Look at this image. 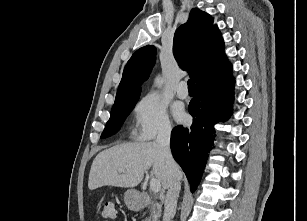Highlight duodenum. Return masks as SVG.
I'll return each mask as SVG.
<instances>
[{"instance_id": "obj_1", "label": "duodenum", "mask_w": 307, "mask_h": 221, "mask_svg": "<svg viewBox=\"0 0 307 221\" xmlns=\"http://www.w3.org/2000/svg\"><path fill=\"white\" fill-rule=\"evenodd\" d=\"M150 199L145 194H140L134 197V204L136 209H141L144 205L149 203Z\"/></svg>"}]
</instances>
